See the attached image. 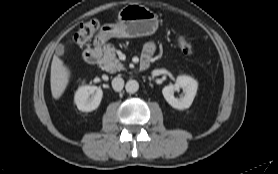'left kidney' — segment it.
<instances>
[{
    "instance_id": "1",
    "label": "left kidney",
    "mask_w": 278,
    "mask_h": 174,
    "mask_svg": "<svg viewBox=\"0 0 278 174\" xmlns=\"http://www.w3.org/2000/svg\"><path fill=\"white\" fill-rule=\"evenodd\" d=\"M180 88L184 90V95L180 98L174 96V92ZM198 88V83L190 76H178L174 85L165 86L162 94L165 100L173 107L179 110L189 108L194 100Z\"/></svg>"
}]
</instances>
